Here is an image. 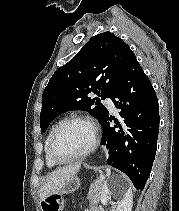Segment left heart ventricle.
I'll use <instances>...</instances> for the list:
<instances>
[{
	"label": "left heart ventricle",
	"instance_id": "1",
	"mask_svg": "<svg viewBox=\"0 0 179 211\" xmlns=\"http://www.w3.org/2000/svg\"><path fill=\"white\" fill-rule=\"evenodd\" d=\"M93 139V131L89 124L75 121L67 124L60 131L55 142V152L63 159L74 157L85 151Z\"/></svg>",
	"mask_w": 179,
	"mask_h": 211
}]
</instances>
